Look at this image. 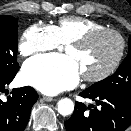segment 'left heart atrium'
<instances>
[{
  "label": "left heart atrium",
  "instance_id": "left-heart-atrium-1",
  "mask_svg": "<svg viewBox=\"0 0 131 131\" xmlns=\"http://www.w3.org/2000/svg\"><path fill=\"white\" fill-rule=\"evenodd\" d=\"M75 60L68 55H39L23 66L22 80L39 91L54 95L74 87L80 78Z\"/></svg>",
  "mask_w": 131,
  "mask_h": 131
}]
</instances>
